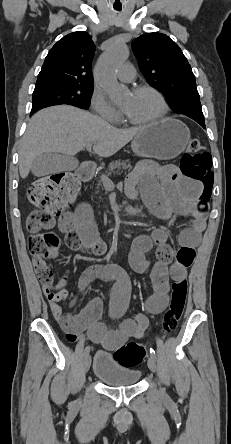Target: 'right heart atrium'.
I'll use <instances>...</instances> for the list:
<instances>
[{"label":"right heart atrium","mask_w":231,"mask_h":444,"mask_svg":"<svg viewBox=\"0 0 231 444\" xmlns=\"http://www.w3.org/2000/svg\"><path fill=\"white\" fill-rule=\"evenodd\" d=\"M91 106L98 116L108 121L116 122L120 118L118 110L106 99L104 93L99 90L93 91Z\"/></svg>","instance_id":"right-heart-atrium-1"}]
</instances>
